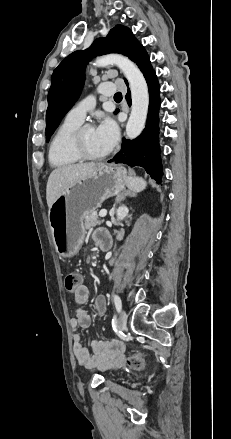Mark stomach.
Returning <instances> with one entry per match:
<instances>
[{"mask_svg": "<svg viewBox=\"0 0 231 439\" xmlns=\"http://www.w3.org/2000/svg\"><path fill=\"white\" fill-rule=\"evenodd\" d=\"M127 178L123 167L104 165L56 199L49 208L48 219L59 256L71 258L79 252L86 233L84 217L124 191Z\"/></svg>", "mask_w": 231, "mask_h": 439, "instance_id": "obj_1", "label": "stomach"}]
</instances>
